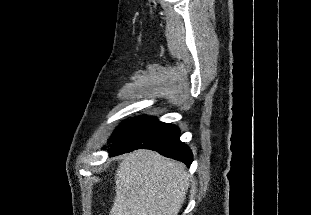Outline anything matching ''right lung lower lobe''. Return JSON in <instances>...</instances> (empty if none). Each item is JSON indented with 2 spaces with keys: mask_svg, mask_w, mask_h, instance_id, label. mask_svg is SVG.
Wrapping results in <instances>:
<instances>
[{
  "mask_svg": "<svg viewBox=\"0 0 311 215\" xmlns=\"http://www.w3.org/2000/svg\"><path fill=\"white\" fill-rule=\"evenodd\" d=\"M179 135L180 130L175 125L160 122L150 116L122 140L112 145L108 152L111 156H115L136 149H151L190 166L193 160L192 152L179 140Z\"/></svg>",
  "mask_w": 311,
  "mask_h": 215,
  "instance_id": "right-lung-lower-lobe-1",
  "label": "right lung lower lobe"
}]
</instances>
